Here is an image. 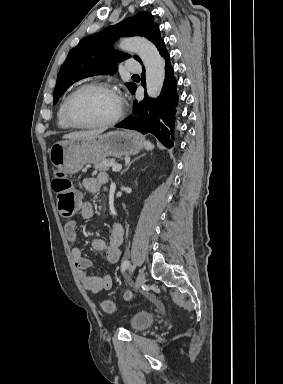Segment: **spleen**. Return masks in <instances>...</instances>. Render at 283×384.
<instances>
[{"instance_id": "obj_1", "label": "spleen", "mask_w": 283, "mask_h": 384, "mask_svg": "<svg viewBox=\"0 0 283 384\" xmlns=\"http://www.w3.org/2000/svg\"><path fill=\"white\" fill-rule=\"evenodd\" d=\"M144 146L146 150H153L154 146L151 144V142H144Z\"/></svg>"}]
</instances>
